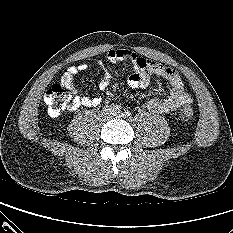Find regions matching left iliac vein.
<instances>
[{"label": "left iliac vein", "instance_id": "1", "mask_svg": "<svg viewBox=\"0 0 233 233\" xmlns=\"http://www.w3.org/2000/svg\"><path fill=\"white\" fill-rule=\"evenodd\" d=\"M116 116L120 117V116H122V113H118V114H116Z\"/></svg>", "mask_w": 233, "mask_h": 233}]
</instances>
